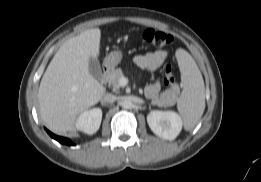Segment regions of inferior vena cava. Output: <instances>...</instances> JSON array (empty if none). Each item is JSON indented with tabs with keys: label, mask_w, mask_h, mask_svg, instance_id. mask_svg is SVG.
Here are the masks:
<instances>
[{
	"label": "inferior vena cava",
	"mask_w": 261,
	"mask_h": 182,
	"mask_svg": "<svg viewBox=\"0 0 261 182\" xmlns=\"http://www.w3.org/2000/svg\"><path fill=\"white\" fill-rule=\"evenodd\" d=\"M116 99H117V97H116L115 95H113V94H111V93H106V94H104V95L102 96L101 102H102L103 104H108V103H113V102H115Z\"/></svg>",
	"instance_id": "obj_1"
}]
</instances>
